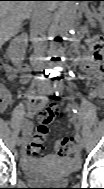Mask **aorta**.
I'll return each mask as SVG.
<instances>
[{
  "instance_id": "obj_1",
  "label": "aorta",
  "mask_w": 104,
  "mask_h": 189,
  "mask_svg": "<svg viewBox=\"0 0 104 189\" xmlns=\"http://www.w3.org/2000/svg\"><path fill=\"white\" fill-rule=\"evenodd\" d=\"M78 4L76 1H64L61 7V21L58 27L59 36H66L67 33L72 32L74 27V22L76 19V12H77ZM56 82H63V74L57 73L56 74Z\"/></svg>"
}]
</instances>
